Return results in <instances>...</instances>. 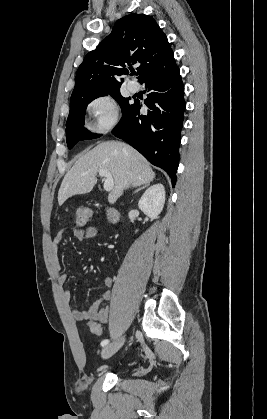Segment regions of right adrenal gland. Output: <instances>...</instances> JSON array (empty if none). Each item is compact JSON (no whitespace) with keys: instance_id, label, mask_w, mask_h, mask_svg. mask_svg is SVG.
<instances>
[{"instance_id":"right-adrenal-gland-1","label":"right adrenal gland","mask_w":267,"mask_h":419,"mask_svg":"<svg viewBox=\"0 0 267 419\" xmlns=\"http://www.w3.org/2000/svg\"><path fill=\"white\" fill-rule=\"evenodd\" d=\"M148 185H149V184H144V185H142L141 187L137 188V189L134 191V193L139 192L140 190H142V189L146 188ZM134 193H133V194H134Z\"/></svg>"}]
</instances>
